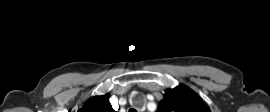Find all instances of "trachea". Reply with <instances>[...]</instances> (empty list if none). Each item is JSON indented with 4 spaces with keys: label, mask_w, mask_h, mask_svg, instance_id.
Wrapping results in <instances>:
<instances>
[{
    "label": "trachea",
    "mask_w": 270,
    "mask_h": 112,
    "mask_svg": "<svg viewBox=\"0 0 270 112\" xmlns=\"http://www.w3.org/2000/svg\"><path fill=\"white\" fill-rule=\"evenodd\" d=\"M129 112H138V111L136 109L131 108L129 109Z\"/></svg>",
    "instance_id": "trachea-1"
}]
</instances>
